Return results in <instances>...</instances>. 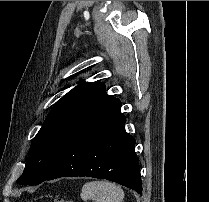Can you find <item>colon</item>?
Returning a JSON list of instances; mask_svg holds the SVG:
<instances>
[{
	"mask_svg": "<svg viewBox=\"0 0 209 202\" xmlns=\"http://www.w3.org/2000/svg\"><path fill=\"white\" fill-rule=\"evenodd\" d=\"M52 202H73V201L66 198L57 197L54 198Z\"/></svg>",
	"mask_w": 209,
	"mask_h": 202,
	"instance_id": "obj_1",
	"label": "colon"
}]
</instances>
